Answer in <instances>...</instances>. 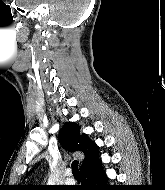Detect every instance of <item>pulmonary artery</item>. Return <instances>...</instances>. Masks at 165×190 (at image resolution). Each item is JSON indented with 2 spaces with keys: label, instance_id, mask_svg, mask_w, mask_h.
<instances>
[{
  "label": "pulmonary artery",
  "instance_id": "1",
  "mask_svg": "<svg viewBox=\"0 0 165 190\" xmlns=\"http://www.w3.org/2000/svg\"><path fill=\"white\" fill-rule=\"evenodd\" d=\"M65 182H66L67 184H71V183L74 182V179L72 178V172H71V170H67V171H66V179H65Z\"/></svg>",
  "mask_w": 165,
  "mask_h": 190
}]
</instances>
